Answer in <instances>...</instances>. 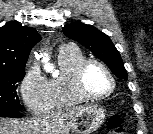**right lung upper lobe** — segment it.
<instances>
[{
	"instance_id": "obj_1",
	"label": "right lung upper lobe",
	"mask_w": 153,
	"mask_h": 134,
	"mask_svg": "<svg viewBox=\"0 0 153 134\" xmlns=\"http://www.w3.org/2000/svg\"><path fill=\"white\" fill-rule=\"evenodd\" d=\"M31 27L9 22L0 28V70L25 69L32 47L40 41Z\"/></svg>"
}]
</instances>
